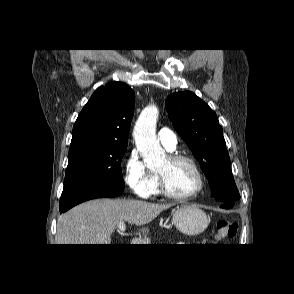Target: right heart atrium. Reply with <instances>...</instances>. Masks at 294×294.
<instances>
[{
    "label": "right heart atrium",
    "instance_id": "right-heart-atrium-1",
    "mask_svg": "<svg viewBox=\"0 0 294 294\" xmlns=\"http://www.w3.org/2000/svg\"><path fill=\"white\" fill-rule=\"evenodd\" d=\"M123 177L130 190L139 198H149L157 184V175L150 172L138 151L132 149L123 162Z\"/></svg>",
    "mask_w": 294,
    "mask_h": 294
}]
</instances>
